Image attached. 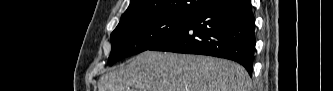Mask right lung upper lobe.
Instances as JSON below:
<instances>
[{
    "instance_id": "1",
    "label": "right lung upper lobe",
    "mask_w": 333,
    "mask_h": 91,
    "mask_svg": "<svg viewBox=\"0 0 333 91\" xmlns=\"http://www.w3.org/2000/svg\"><path fill=\"white\" fill-rule=\"evenodd\" d=\"M204 0H131L119 24L144 16L159 14L197 15Z\"/></svg>"
}]
</instances>
